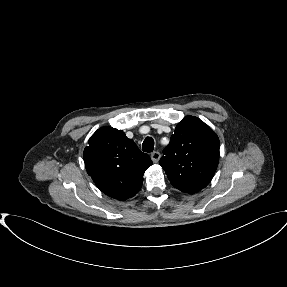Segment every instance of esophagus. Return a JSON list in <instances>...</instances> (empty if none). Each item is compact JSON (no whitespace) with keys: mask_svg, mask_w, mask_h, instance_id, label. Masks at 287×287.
Returning a JSON list of instances; mask_svg holds the SVG:
<instances>
[{"mask_svg":"<svg viewBox=\"0 0 287 287\" xmlns=\"http://www.w3.org/2000/svg\"><path fill=\"white\" fill-rule=\"evenodd\" d=\"M160 153L158 151H155L151 154V158L153 160L154 163H157L160 160Z\"/></svg>","mask_w":287,"mask_h":287,"instance_id":"34e87169","label":"esophagus"}]
</instances>
